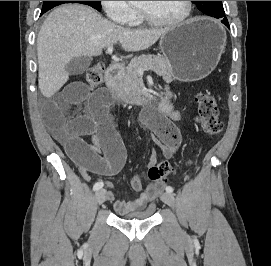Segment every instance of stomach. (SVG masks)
Instances as JSON below:
<instances>
[{
	"mask_svg": "<svg viewBox=\"0 0 271 266\" xmlns=\"http://www.w3.org/2000/svg\"><path fill=\"white\" fill-rule=\"evenodd\" d=\"M226 32L207 18H194L169 28L160 38V49L171 66L173 79L197 81L217 66L226 46Z\"/></svg>",
	"mask_w": 271,
	"mask_h": 266,
	"instance_id": "0dacf381",
	"label": "stomach"
}]
</instances>
